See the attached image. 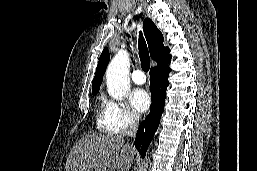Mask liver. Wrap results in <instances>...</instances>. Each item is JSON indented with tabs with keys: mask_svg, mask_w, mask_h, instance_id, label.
Here are the masks:
<instances>
[{
	"mask_svg": "<svg viewBox=\"0 0 257 171\" xmlns=\"http://www.w3.org/2000/svg\"><path fill=\"white\" fill-rule=\"evenodd\" d=\"M134 155L121 135L88 134L70 151L65 171H129Z\"/></svg>",
	"mask_w": 257,
	"mask_h": 171,
	"instance_id": "liver-1",
	"label": "liver"
}]
</instances>
